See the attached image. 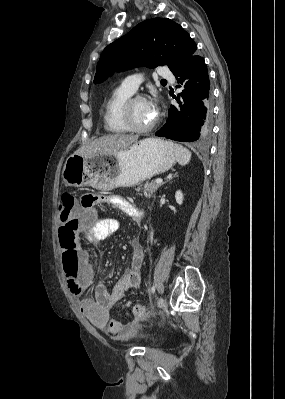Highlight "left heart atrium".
I'll list each match as a JSON object with an SVG mask.
<instances>
[{"instance_id": "1", "label": "left heart atrium", "mask_w": 285, "mask_h": 399, "mask_svg": "<svg viewBox=\"0 0 285 399\" xmlns=\"http://www.w3.org/2000/svg\"><path fill=\"white\" fill-rule=\"evenodd\" d=\"M147 103H148L151 113L153 114V116L156 117L158 114L157 102L155 100H148Z\"/></svg>"}]
</instances>
